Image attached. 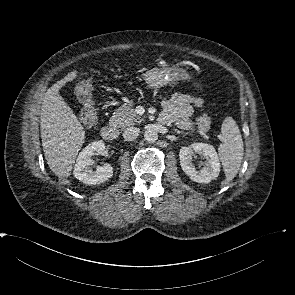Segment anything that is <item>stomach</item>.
I'll return each mask as SVG.
<instances>
[{"label": "stomach", "instance_id": "1", "mask_svg": "<svg viewBox=\"0 0 295 295\" xmlns=\"http://www.w3.org/2000/svg\"><path fill=\"white\" fill-rule=\"evenodd\" d=\"M144 80L148 88H160L174 81H191L192 77L186 69L177 67L154 68L144 73ZM197 88L201 85L194 83Z\"/></svg>", "mask_w": 295, "mask_h": 295}]
</instances>
